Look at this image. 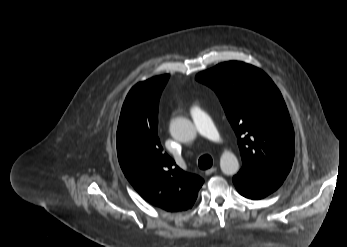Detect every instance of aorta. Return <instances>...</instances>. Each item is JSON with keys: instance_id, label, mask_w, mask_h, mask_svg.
I'll use <instances>...</instances> for the list:
<instances>
[{"instance_id": "1", "label": "aorta", "mask_w": 347, "mask_h": 247, "mask_svg": "<svg viewBox=\"0 0 347 247\" xmlns=\"http://www.w3.org/2000/svg\"><path fill=\"white\" fill-rule=\"evenodd\" d=\"M170 133L173 138L181 142H189L195 139L196 129L194 124L183 117L172 120L170 124ZM220 168L225 175H234L239 170L237 157L229 151L223 152L220 158Z\"/></svg>"}]
</instances>
